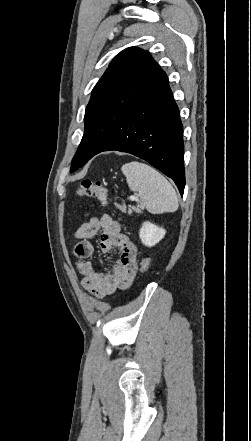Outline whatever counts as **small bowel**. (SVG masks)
Instances as JSON below:
<instances>
[{
  "mask_svg": "<svg viewBox=\"0 0 251 441\" xmlns=\"http://www.w3.org/2000/svg\"><path fill=\"white\" fill-rule=\"evenodd\" d=\"M99 233L100 248L104 253L114 249L119 251V258L108 272L100 271L91 260L95 251L91 239ZM74 237L78 240L74 248V253L79 259L76 268L83 276L81 284L85 290L95 297L102 298L130 286L137 272V248L129 237L122 233L118 221L109 214L91 218L79 226Z\"/></svg>",
  "mask_w": 251,
  "mask_h": 441,
  "instance_id": "1",
  "label": "small bowel"
}]
</instances>
